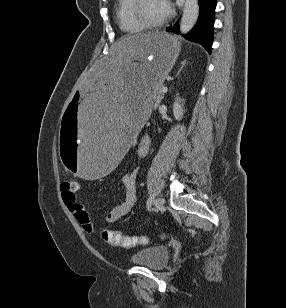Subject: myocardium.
Returning a JSON list of instances; mask_svg holds the SVG:
<instances>
[{
    "instance_id": "f54148a6",
    "label": "myocardium",
    "mask_w": 286,
    "mask_h": 308,
    "mask_svg": "<svg viewBox=\"0 0 286 308\" xmlns=\"http://www.w3.org/2000/svg\"><path fill=\"white\" fill-rule=\"evenodd\" d=\"M145 0H134V3L131 7V15L133 17V19L140 25L142 26L144 29H158V28H161L162 26H164L170 16H171V12L168 11V14L167 16L159 21V22H148L147 20H145L141 14V6L142 4L144 3Z\"/></svg>"
}]
</instances>
